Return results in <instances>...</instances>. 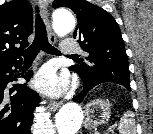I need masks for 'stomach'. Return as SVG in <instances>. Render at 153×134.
<instances>
[{"label": "stomach", "mask_w": 153, "mask_h": 134, "mask_svg": "<svg viewBox=\"0 0 153 134\" xmlns=\"http://www.w3.org/2000/svg\"><path fill=\"white\" fill-rule=\"evenodd\" d=\"M111 116L110 105L103 100H92L85 106V127L96 128L105 124Z\"/></svg>", "instance_id": "stomach-1"}]
</instances>
